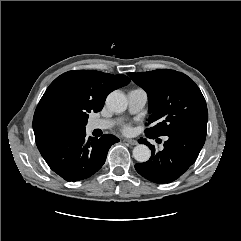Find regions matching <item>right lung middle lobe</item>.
I'll use <instances>...</instances> for the list:
<instances>
[{"label":"right lung middle lobe","mask_w":241,"mask_h":241,"mask_svg":"<svg viewBox=\"0 0 241 241\" xmlns=\"http://www.w3.org/2000/svg\"><path fill=\"white\" fill-rule=\"evenodd\" d=\"M86 123H84L83 125L77 127V128H85ZM67 128H74L73 126L70 125H59L56 129L57 130H61V129H67Z\"/></svg>","instance_id":"obj_1"}]
</instances>
